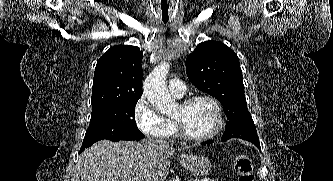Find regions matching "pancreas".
<instances>
[{"label":"pancreas","instance_id":"pancreas-1","mask_svg":"<svg viewBox=\"0 0 333 181\" xmlns=\"http://www.w3.org/2000/svg\"><path fill=\"white\" fill-rule=\"evenodd\" d=\"M207 181H214V180H209V179H208Z\"/></svg>","mask_w":333,"mask_h":181}]
</instances>
